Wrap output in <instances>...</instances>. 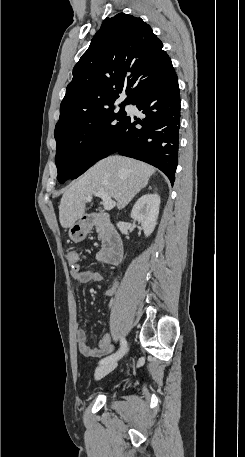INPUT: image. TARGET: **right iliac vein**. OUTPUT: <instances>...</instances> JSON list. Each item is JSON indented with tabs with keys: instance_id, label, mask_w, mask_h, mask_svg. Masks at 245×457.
<instances>
[{
	"instance_id": "obj_1",
	"label": "right iliac vein",
	"mask_w": 245,
	"mask_h": 457,
	"mask_svg": "<svg viewBox=\"0 0 245 457\" xmlns=\"http://www.w3.org/2000/svg\"><path fill=\"white\" fill-rule=\"evenodd\" d=\"M117 366L116 362H108L98 366L95 370V379L99 380L104 376L108 375L111 371H113Z\"/></svg>"
}]
</instances>
